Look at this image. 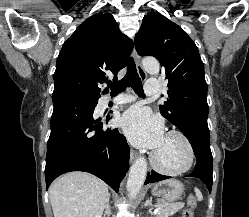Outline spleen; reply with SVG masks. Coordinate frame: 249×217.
Wrapping results in <instances>:
<instances>
[{"instance_id":"3e777b00","label":"spleen","mask_w":249,"mask_h":217,"mask_svg":"<svg viewBox=\"0 0 249 217\" xmlns=\"http://www.w3.org/2000/svg\"><path fill=\"white\" fill-rule=\"evenodd\" d=\"M194 191L196 193L197 199L199 201H201L203 199V196H202V193L200 192V190L198 188H195Z\"/></svg>"}]
</instances>
